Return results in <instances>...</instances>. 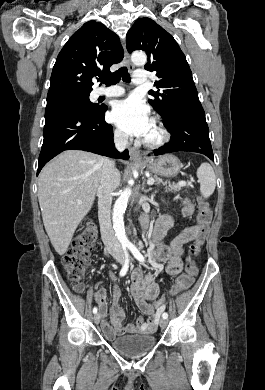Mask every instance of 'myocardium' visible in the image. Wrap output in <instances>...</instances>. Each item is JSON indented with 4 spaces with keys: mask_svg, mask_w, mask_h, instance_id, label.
<instances>
[{
    "mask_svg": "<svg viewBox=\"0 0 265 390\" xmlns=\"http://www.w3.org/2000/svg\"><path fill=\"white\" fill-rule=\"evenodd\" d=\"M154 129L156 136L153 139H145L144 146L150 149H157L165 145L169 140V133L167 129L159 121L154 122Z\"/></svg>",
    "mask_w": 265,
    "mask_h": 390,
    "instance_id": "obj_1",
    "label": "myocardium"
}]
</instances>
